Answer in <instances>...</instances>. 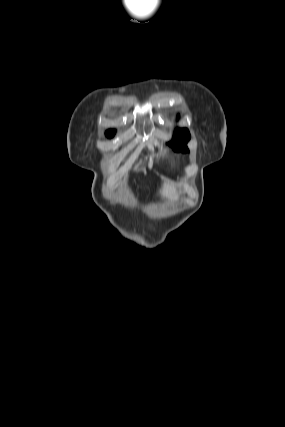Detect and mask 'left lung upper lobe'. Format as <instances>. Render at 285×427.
<instances>
[{"label": "left lung upper lobe", "instance_id": "left-lung-upper-lobe-1", "mask_svg": "<svg viewBox=\"0 0 285 427\" xmlns=\"http://www.w3.org/2000/svg\"><path fill=\"white\" fill-rule=\"evenodd\" d=\"M190 139V134L187 129H179L174 133V140L169 143L176 151L187 152L186 143Z\"/></svg>", "mask_w": 285, "mask_h": 427}]
</instances>
